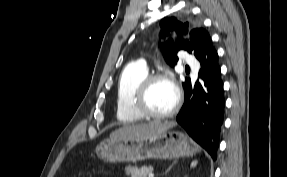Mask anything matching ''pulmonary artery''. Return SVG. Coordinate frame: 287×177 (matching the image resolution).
I'll return each instance as SVG.
<instances>
[{
  "label": "pulmonary artery",
  "instance_id": "pulmonary-artery-1",
  "mask_svg": "<svg viewBox=\"0 0 287 177\" xmlns=\"http://www.w3.org/2000/svg\"><path fill=\"white\" fill-rule=\"evenodd\" d=\"M184 56V63L189 66H193L197 64V60L194 56L188 54L186 51L182 50ZM145 65V64H143Z\"/></svg>",
  "mask_w": 287,
  "mask_h": 177
}]
</instances>
